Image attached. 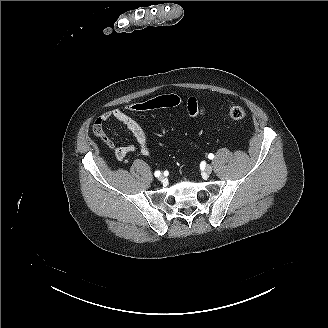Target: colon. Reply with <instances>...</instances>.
Returning a JSON list of instances; mask_svg holds the SVG:
<instances>
[{
  "label": "colon",
  "mask_w": 328,
  "mask_h": 328,
  "mask_svg": "<svg viewBox=\"0 0 328 328\" xmlns=\"http://www.w3.org/2000/svg\"><path fill=\"white\" fill-rule=\"evenodd\" d=\"M180 104V98L175 94L161 95L142 102H137L129 106V110L134 113H142L166 107H175ZM229 117L233 120H242L246 116L245 110L237 105H233L228 110ZM93 131L96 136L107 142V138L102 129V122L97 119L93 126Z\"/></svg>",
  "instance_id": "1"
}]
</instances>
